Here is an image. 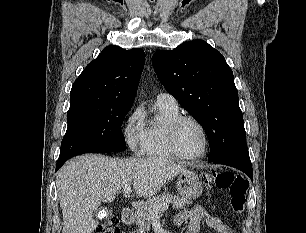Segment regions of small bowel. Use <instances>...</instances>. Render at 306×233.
Here are the masks:
<instances>
[{
    "label": "small bowel",
    "mask_w": 306,
    "mask_h": 233,
    "mask_svg": "<svg viewBox=\"0 0 306 233\" xmlns=\"http://www.w3.org/2000/svg\"><path fill=\"white\" fill-rule=\"evenodd\" d=\"M205 223L218 233H234L233 229L216 216L210 215L200 206L185 209L175 217V224L184 229L185 233H199L201 222Z\"/></svg>",
    "instance_id": "small-bowel-1"
}]
</instances>
